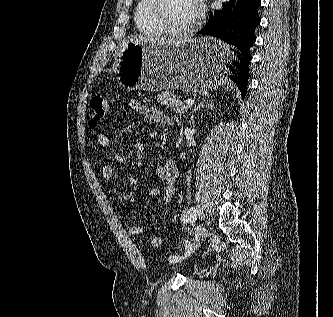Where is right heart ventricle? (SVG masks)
Segmentation results:
<instances>
[{
  "mask_svg": "<svg viewBox=\"0 0 333 317\" xmlns=\"http://www.w3.org/2000/svg\"><path fill=\"white\" fill-rule=\"evenodd\" d=\"M150 0H139L135 12L134 20L137 30L148 36L162 35L164 31L154 22L150 14Z\"/></svg>",
  "mask_w": 333,
  "mask_h": 317,
  "instance_id": "obj_1",
  "label": "right heart ventricle"
}]
</instances>
